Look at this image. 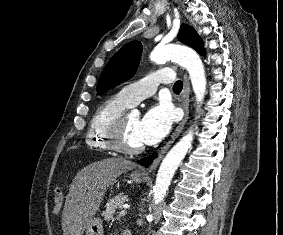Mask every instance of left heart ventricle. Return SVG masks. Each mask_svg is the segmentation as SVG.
I'll use <instances>...</instances> for the list:
<instances>
[{
	"mask_svg": "<svg viewBox=\"0 0 283 235\" xmlns=\"http://www.w3.org/2000/svg\"><path fill=\"white\" fill-rule=\"evenodd\" d=\"M139 121V117L137 116H127L125 124V142L130 147H138L143 144L137 131Z\"/></svg>",
	"mask_w": 283,
	"mask_h": 235,
	"instance_id": "obj_1",
	"label": "left heart ventricle"
}]
</instances>
